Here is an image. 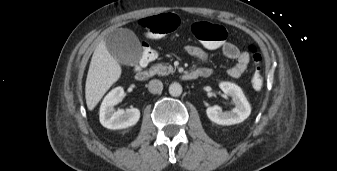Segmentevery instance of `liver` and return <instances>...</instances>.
Listing matches in <instances>:
<instances>
[{
    "label": "liver",
    "mask_w": 337,
    "mask_h": 171,
    "mask_svg": "<svg viewBox=\"0 0 337 171\" xmlns=\"http://www.w3.org/2000/svg\"><path fill=\"white\" fill-rule=\"evenodd\" d=\"M121 66L109 53L105 41L95 48L90 62L85 98L89 110H93L109 88L120 78Z\"/></svg>",
    "instance_id": "obj_1"
}]
</instances>
